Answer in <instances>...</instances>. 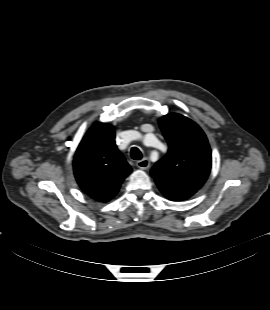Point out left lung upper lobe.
<instances>
[{
    "instance_id": "5c2ea615",
    "label": "left lung upper lobe",
    "mask_w": 270,
    "mask_h": 310,
    "mask_svg": "<svg viewBox=\"0 0 270 310\" xmlns=\"http://www.w3.org/2000/svg\"><path fill=\"white\" fill-rule=\"evenodd\" d=\"M159 126L169 149L151 170L156 184L197 192L211 170V149L204 132L177 113L161 117Z\"/></svg>"
}]
</instances>
